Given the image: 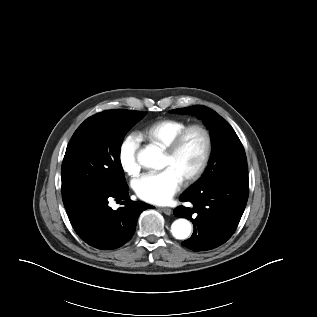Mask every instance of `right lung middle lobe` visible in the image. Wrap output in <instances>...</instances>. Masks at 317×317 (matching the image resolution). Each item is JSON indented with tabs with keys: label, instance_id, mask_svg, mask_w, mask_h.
<instances>
[{
	"label": "right lung middle lobe",
	"instance_id": "obj_1",
	"mask_svg": "<svg viewBox=\"0 0 317 317\" xmlns=\"http://www.w3.org/2000/svg\"><path fill=\"white\" fill-rule=\"evenodd\" d=\"M145 112L116 109L86 119L73 134L63 159L64 205L97 189H121L126 184L120 163V147L126 133Z\"/></svg>",
	"mask_w": 317,
	"mask_h": 317
}]
</instances>
